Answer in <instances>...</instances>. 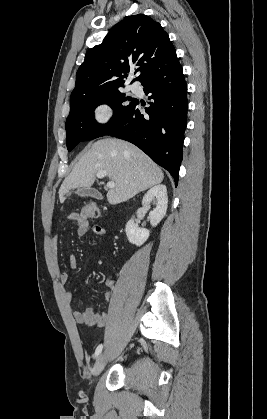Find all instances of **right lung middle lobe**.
<instances>
[{
  "instance_id": "1",
  "label": "right lung middle lobe",
  "mask_w": 267,
  "mask_h": 419,
  "mask_svg": "<svg viewBox=\"0 0 267 419\" xmlns=\"http://www.w3.org/2000/svg\"><path fill=\"white\" fill-rule=\"evenodd\" d=\"M135 101V98L126 96L120 90H113L88 95L70 103V113L65 124L68 151L81 141L104 136L129 112ZM100 104H108L113 109V116L106 124L94 120V109Z\"/></svg>"
}]
</instances>
